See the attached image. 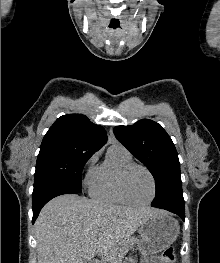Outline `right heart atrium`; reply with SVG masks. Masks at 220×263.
<instances>
[{"label": "right heart atrium", "mask_w": 220, "mask_h": 263, "mask_svg": "<svg viewBox=\"0 0 220 263\" xmlns=\"http://www.w3.org/2000/svg\"><path fill=\"white\" fill-rule=\"evenodd\" d=\"M98 157H99V153L98 152L93 154L88 160V165H90V166L94 165L96 163V161L98 160Z\"/></svg>", "instance_id": "right-heart-atrium-1"}]
</instances>
